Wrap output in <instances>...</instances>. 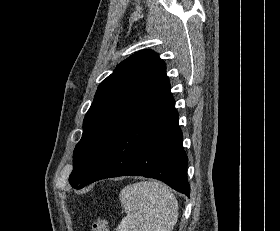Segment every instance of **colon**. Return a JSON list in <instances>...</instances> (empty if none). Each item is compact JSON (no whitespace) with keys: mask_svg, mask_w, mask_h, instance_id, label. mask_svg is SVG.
Instances as JSON below:
<instances>
[{"mask_svg":"<svg viewBox=\"0 0 280 231\" xmlns=\"http://www.w3.org/2000/svg\"><path fill=\"white\" fill-rule=\"evenodd\" d=\"M92 231H109L107 222L101 218L95 219L92 222Z\"/></svg>","mask_w":280,"mask_h":231,"instance_id":"obj_1","label":"colon"}]
</instances>
